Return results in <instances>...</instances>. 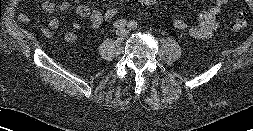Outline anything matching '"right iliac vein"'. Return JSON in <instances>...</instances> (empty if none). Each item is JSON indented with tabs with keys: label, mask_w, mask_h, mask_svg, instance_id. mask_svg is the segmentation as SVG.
I'll use <instances>...</instances> for the list:
<instances>
[{
	"label": "right iliac vein",
	"mask_w": 253,
	"mask_h": 131,
	"mask_svg": "<svg viewBox=\"0 0 253 131\" xmlns=\"http://www.w3.org/2000/svg\"><path fill=\"white\" fill-rule=\"evenodd\" d=\"M116 35L118 38H123L125 35V30L124 29L117 30Z\"/></svg>",
	"instance_id": "obj_1"
}]
</instances>
